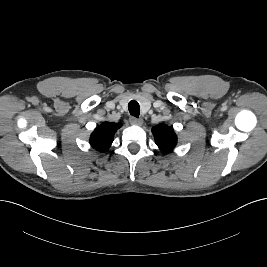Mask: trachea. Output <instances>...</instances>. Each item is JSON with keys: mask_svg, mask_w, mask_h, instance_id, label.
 Returning a JSON list of instances; mask_svg holds the SVG:
<instances>
[{"mask_svg": "<svg viewBox=\"0 0 267 267\" xmlns=\"http://www.w3.org/2000/svg\"><path fill=\"white\" fill-rule=\"evenodd\" d=\"M129 112L132 116L138 118L140 114V106L139 103L135 100H132L128 104Z\"/></svg>", "mask_w": 267, "mask_h": 267, "instance_id": "3493384b", "label": "trachea"}]
</instances>
